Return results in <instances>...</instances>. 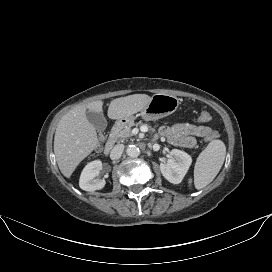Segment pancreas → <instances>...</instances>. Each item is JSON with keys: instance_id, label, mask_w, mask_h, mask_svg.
Returning <instances> with one entry per match:
<instances>
[{"instance_id": "pancreas-1", "label": "pancreas", "mask_w": 272, "mask_h": 272, "mask_svg": "<svg viewBox=\"0 0 272 272\" xmlns=\"http://www.w3.org/2000/svg\"><path fill=\"white\" fill-rule=\"evenodd\" d=\"M141 122L134 123L130 122L126 125H124L117 133H116V138L118 141L123 142L126 138L130 137L133 135L132 133V127L133 126H138L141 125Z\"/></svg>"}]
</instances>
